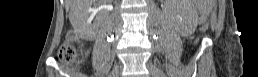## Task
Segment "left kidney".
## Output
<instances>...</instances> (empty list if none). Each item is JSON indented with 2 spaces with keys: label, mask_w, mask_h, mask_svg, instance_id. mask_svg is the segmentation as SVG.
<instances>
[{
  "label": "left kidney",
  "mask_w": 258,
  "mask_h": 77,
  "mask_svg": "<svg viewBox=\"0 0 258 77\" xmlns=\"http://www.w3.org/2000/svg\"><path fill=\"white\" fill-rule=\"evenodd\" d=\"M181 17L183 18V22L181 19V23H187V24L194 23V16L192 15L191 10L189 8L184 9V11L181 14Z\"/></svg>",
  "instance_id": "5707ae66"
}]
</instances>
